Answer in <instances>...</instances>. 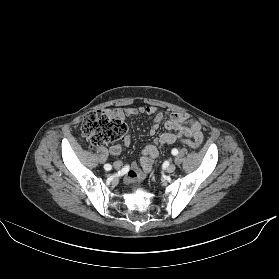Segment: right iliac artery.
Here are the masks:
<instances>
[{"mask_svg":"<svg viewBox=\"0 0 279 279\" xmlns=\"http://www.w3.org/2000/svg\"><path fill=\"white\" fill-rule=\"evenodd\" d=\"M104 169L107 170V171H109V170L112 169V166H111L110 164H105V165H104Z\"/></svg>","mask_w":279,"mask_h":279,"instance_id":"right-iliac-artery-1","label":"right iliac artery"}]
</instances>
